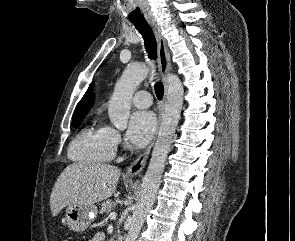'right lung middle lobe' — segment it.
<instances>
[{
    "label": "right lung middle lobe",
    "instance_id": "1",
    "mask_svg": "<svg viewBox=\"0 0 295 241\" xmlns=\"http://www.w3.org/2000/svg\"><path fill=\"white\" fill-rule=\"evenodd\" d=\"M84 118H85V114L73 117V121H72L73 127H75V128L79 127V125L82 123Z\"/></svg>",
    "mask_w": 295,
    "mask_h": 241
}]
</instances>
